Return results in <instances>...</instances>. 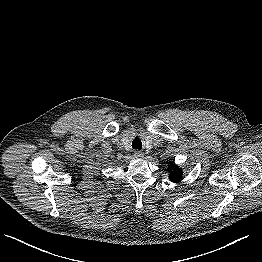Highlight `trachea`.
<instances>
[{
    "instance_id": "trachea-1",
    "label": "trachea",
    "mask_w": 262,
    "mask_h": 262,
    "mask_svg": "<svg viewBox=\"0 0 262 262\" xmlns=\"http://www.w3.org/2000/svg\"><path fill=\"white\" fill-rule=\"evenodd\" d=\"M132 147H133L134 149H141V148H142V142H141V140H140L138 137H136V138L133 140V142H132Z\"/></svg>"
}]
</instances>
